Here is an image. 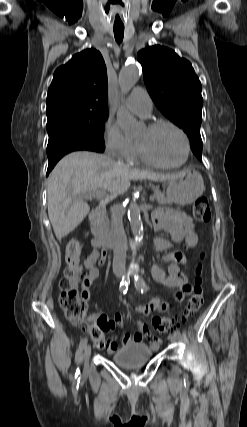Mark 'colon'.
<instances>
[{
    "label": "colon",
    "instance_id": "1",
    "mask_svg": "<svg viewBox=\"0 0 247 427\" xmlns=\"http://www.w3.org/2000/svg\"><path fill=\"white\" fill-rule=\"evenodd\" d=\"M192 214L200 222L206 223L211 219V210L208 199L204 196L199 197L193 204ZM83 244L78 238H71L65 248L66 268L64 276L60 280L59 305L64 311L66 318L75 325H81L85 322L86 304L83 296L79 293V281L81 268L79 258L82 253ZM202 265L196 267V277L191 289V296L187 302L184 311L177 316L155 317L152 320L153 327L160 332L172 331L181 326V324L190 316L198 312L203 304V286H202ZM87 332L92 338L94 344L99 348H105L107 342L103 335V329L92 324L87 327Z\"/></svg>",
    "mask_w": 247,
    "mask_h": 427
}]
</instances>
